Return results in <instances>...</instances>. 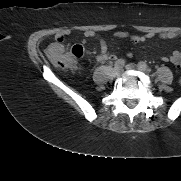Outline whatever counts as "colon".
<instances>
[{"instance_id":"obj_1","label":"colon","mask_w":181,"mask_h":181,"mask_svg":"<svg viewBox=\"0 0 181 181\" xmlns=\"http://www.w3.org/2000/svg\"><path fill=\"white\" fill-rule=\"evenodd\" d=\"M84 48L82 45H75L70 54L58 52L52 56L53 64L61 69L73 68L77 65L78 59L83 56ZM181 82V79H180Z\"/></svg>"}]
</instances>
